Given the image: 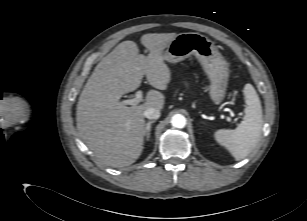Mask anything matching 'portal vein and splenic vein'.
I'll return each instance as SVG.
<instances>
[{
  "instance_id": "portal-vein-and-splenic-vein-1",
  "label": "portal vein and splenic vein",
  "mask_w": 307,
  "mask_h": 221,
  "mask_svg": "<svg viewBox=\"0 0 307 221\" xmlns=\"http://www.w3.org/2000/svg\"><path fill=\"white\" fill-rule=\"evenodd\" d=\"M143 100V93L141 90H138L135 93V97L133 99H128V100H124L122 101V103L124 105H130V106H136L138 105L141 101ZM228 121H231V118H227Z\"/></svg>"
}]
</instances>
